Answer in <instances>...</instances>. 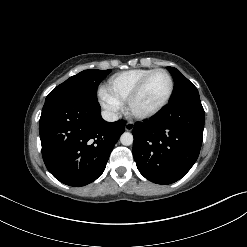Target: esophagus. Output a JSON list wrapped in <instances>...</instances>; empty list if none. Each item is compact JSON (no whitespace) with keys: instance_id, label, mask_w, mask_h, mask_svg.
I'll list each match as a JSON object with an SVG mask.
<instances>
[{"instance_id":"esophagus-1","label":"esophagus","mask_w":247,"mask_h":247,"mask_svg":"<svg viewBox=\"0 0 247 247\" xmlns=\"http://www.w3.org/2000/svg\"><path fill=\"white\" fill-rule=\"evenodd\" d=\"M134 128V124L132 122H127L125 125V130L126 131H132Z\"/></svg>"}]
</instances>
